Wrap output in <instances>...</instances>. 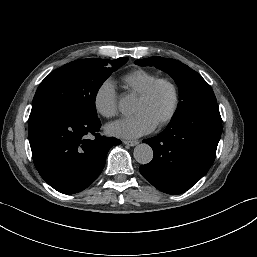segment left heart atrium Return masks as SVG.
<instances>
[{
  "label": "left heart atrium",
  "mask_w": 257,
  "mask_h": 257,
  "mask_svg": "<svg viewBox=\"0 0 257 257\" xmlns=\"http://www.w3.org/2000/svg\"><path fill=\"white\" fill-rule=\"evenodd\" d=\"M156 126L148 115L141 112L108 124L106 130L116 137L134 139L152 132Z\"/></svg>",
  "instance_id": "39dd6f15"
}]
</instances>
